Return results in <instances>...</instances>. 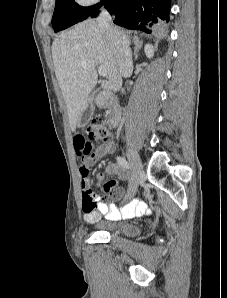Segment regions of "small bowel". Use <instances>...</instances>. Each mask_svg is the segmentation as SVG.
<instances>
[{
  "instance_id": "c3829d8e",
  "label": "small bowel",
  "mask_w": 227,
  "mask_h": 298,
  "mask_svg": "<svg viewBox=\"0 0 227 298\" xmlns=\"http://www.w3.org/2000/svg\"><path fill=\"white\" fill-rule=\"evenodd\" d=\"M75 139H72L71 146L75 147V157L83 158L79 168L80 172V186L82 189V209L83 218L87 223L98 220L101 215L106 216L111 220H118L124 218H132L140 216L147 212L146 204L143 201H139L132 198L134 195L130 194L131 180L128 174L117 164H109L105 173L110 175H117L121 179L128 181V201L121 209H116L113 204L100 200L98 196L90 187L88 178L89 166L98 162L105 155L113 153L116 149L113 141H106L92 150L93 142H85L87 134H75ZM104 173L98 174V178L101 179ZM124 195L123 189H116L110 197L113 199H121Z\"/></svg>"
}]
</instances>
